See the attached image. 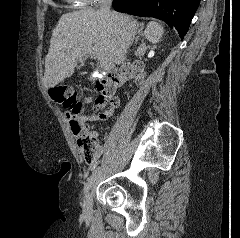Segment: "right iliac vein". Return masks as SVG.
<instances>
[{
  "instance_id": "obj_1",
  "label": "right iliac vein",
  "mask_w": 240,
  "mask_h": 238,
  "mask_svg": "<svg viewBox=\"0 0 240 238\" xmlns=\"http://www.w3.org/2000/svg\"><path fill=\"white\" fill-rule=\"evenodd\" d=\"M82 206H83L84 214L89 215L91 213V210H92V196H91V193L88 192L85 195Z\"/></svg>"
}]
</instances>
